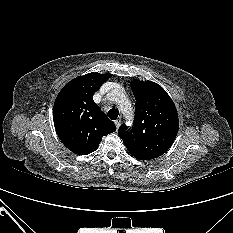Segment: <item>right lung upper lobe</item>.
I'll return each instance as SVG.
<instances>
[{
  "mask_svg": "<svg viewBox=\"0 0 233 233\" xmlns=\"http://www.w3.org/2000/svg\"><path fill=\"white\" fill-rule=\"evenodd\" d=\"M111 74L89 73L68 82L59 92L53 107L58 137L75 154L97 150L102 137L116 130L93 101V95Z\"/></svg>",
  "mask_w": 233,
  "mask_h": 233,
  "instance_id": "obj_1",
  "label": "right lung upper lobe"
}]
</instances>
